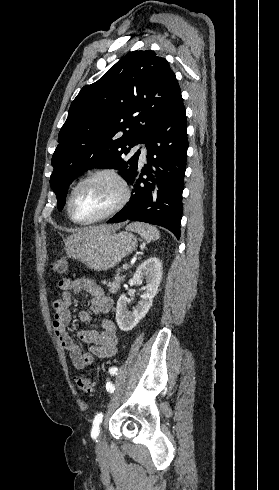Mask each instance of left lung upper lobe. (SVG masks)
I'll return each mask as SVG.
<instances>
[{
  "label": "left lung upper lobe",
  "mask_w": 279,
  "mask_h": 490,
  "mask_svg": "<svg viewBox=\"0 0 279 490\" xmlns=\"http://www.w3.org/2000/svg\"><path fill=\"white\" fill-rule=\"evenodd\" d=\"M181 98L168 62L150 50L126 54L97 82L84 86L70 106L52 157L50 185L58 210L64 207L69 185L88 169H117L129 180L140 150L126 155L137 143H145Z\"/></svg>",
  "instance_id": "obj_1"
}]
</instances>
